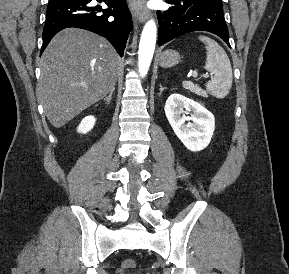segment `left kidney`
<instances>
[{
	"label": "left kidney",
	"mask_w": 289,
	"mask_h": 274,
	"mask_svg": "<svg viewBox=\"0 0 289 274\" xmlns=\"http://www.w3.org/2000/svg\"><path fill=\"white\" fill-rule=\"evenodd\" d=\"M164 109L175 134L187 149L196 152L209 145L215 130V118L211 112L194 100L177 93L168 97ZM184 109L192 112L191 117L182 115L185 113Z\"/></svg>",
	"instance_id": "1"
}]
</instances>
